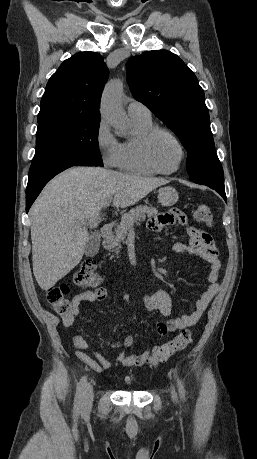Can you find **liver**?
<instances>
[{"mask_svg": "<svg viewBox=\"0 0 257 459\" xmlns=\"http://www.w3.org/2000/svg\"><path fill=\"white\" fill-rule=\"evenodd\" d=\"M168 180L99 167H74L51 180L30 209L33 274L41 289L53 287L82 259L88 227H97L108 198L129 207Z\"/></svg>", "mask_w": 257, "mask_h": 459, "instance_id": "6515ba94", "label": "liver"}]
</instances>
